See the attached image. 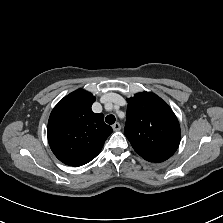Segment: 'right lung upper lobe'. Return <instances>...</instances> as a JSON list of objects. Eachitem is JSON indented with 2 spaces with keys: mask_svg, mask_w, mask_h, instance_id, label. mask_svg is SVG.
<instances>
[{
  "mask_svg": "<svg viewBox=\"0 0 223 223\" xmlns=\"http://www.w3.org/2000/svg\"><path fill=\"white\" fill-rule=\"evenodd\" d=\"M95 97L78 89L64 97L48 121V142L55 156L69 166H81L101 151L112 128L104 115L91 110Z\"/></svg>",
  "mask_w": 223,
  "mask_h": 223,
  "instance_id": "obj_1",
  "label": "right lung upper lobe"
}]
</instances>
